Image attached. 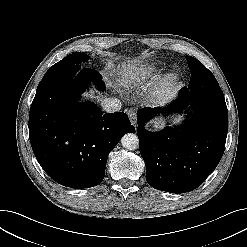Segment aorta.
<instances>
[{
  "label": "aorta",
  "mask_w": 247,
  "mask_h": 247,
  "mask_svg": "<svg viewBox=\"0 0 247 247\" xmlns=\"http://www.w3.org/2000/svg\"><path fill=\"white\" fill-rule=\"evenodd\" d=\"M121 144L125 149L135 150L139 146V139L134 133H127L121 138Z\"/></svg>",
  "instance_id": "762f6f07"
}]
</instances>
